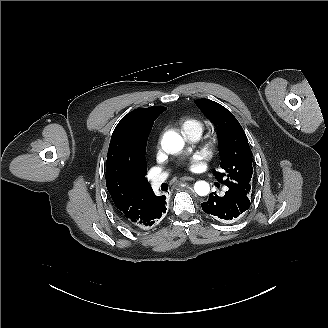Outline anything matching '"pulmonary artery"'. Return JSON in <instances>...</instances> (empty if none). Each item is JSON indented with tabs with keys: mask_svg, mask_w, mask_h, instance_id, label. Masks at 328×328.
I'll use <instances>...</instances> for the list:
<instances>
[{
	"mask_svg": "<svg viewBox=\"0 0 328 328\" xmlns=\"http://www.w3.org/2000/svg\"><path fill=\"white\" fill-rule=\"evenodd\" d=\"M166 174H157L149 178V184L153 189L158 188L161 183L165 180Z\"/></svg>",
	"mask_w": 328,
	"mask_h": 328,
	"instance_id": "1",
	"label": "pulmonary artery"
}]
</instances>
